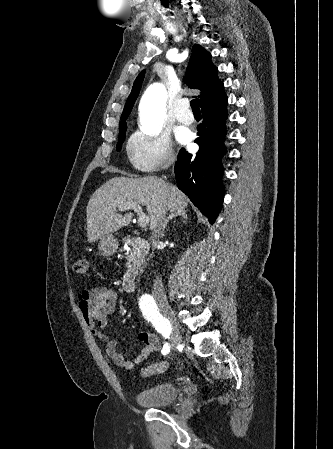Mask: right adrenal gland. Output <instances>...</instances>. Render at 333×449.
<instances>
[{
    "instance_id": "right-adrenal-gland-1",
    "label": "right adrenal gland",
    "mask_w": 333,
    "mask_h": 449,
    "mask_svg": "<svg viewBox=\"0 0 333 449\" xmlns=\"http://www.w3.org/2000/svg\"><path fill=\"white\" fill-rule=\"evenodd\" d=\"M177 216H182L184 219H188V215H187V211L186 210H178L176 212L171 213L168 218L164 221L163 227H162V231L161 233L163 234L165 232V228L168 224V222L170 220H172L173 218L177 217Z\"/></svg>"
}]
</instances>
